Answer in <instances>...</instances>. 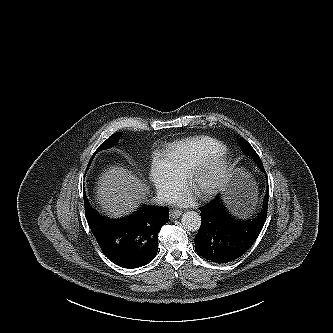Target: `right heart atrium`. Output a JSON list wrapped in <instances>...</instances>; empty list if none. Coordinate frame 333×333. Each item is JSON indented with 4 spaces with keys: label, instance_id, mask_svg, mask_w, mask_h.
Returning <instances> with one entry per match:
<instances>
[{
    "label": "right heart atrium",
    "instance_id": "d8ad5b80",
    "mask_svg": "<svg viewBox=\"0 0 333 333\" xmlns=\"http://www.w3.org/2000/svg\"><path fill=\"white\" fill-rule=\"evenodd\" d=\"M148 179L161 199L169 198L182 185V179L171 171L160 156L151 160Z\"/></svg>",
    "mask_w": 333,
    "mask_h": 333
}]
</instances>
